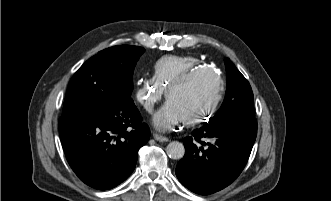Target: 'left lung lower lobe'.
Instances as JSON below:
<instances>
[{"instance_id": "left-lung-lower-lobe-1", "label": "left lung lower lobe", "mask_w": 331, "mask_h": 201, "mask_svg": "<svg viewBox=\"0 0 331 201\" xmlns=\"http://www.w3.org/2000/svg\"><path fill=\"white\" fill-rule=\"evenodd\" d=\"M256 135V119L219 121L194 130L183 140L185 155L177 164V178L200 195L227 187L244 169Z\"/></svg>"}]
</instances>
